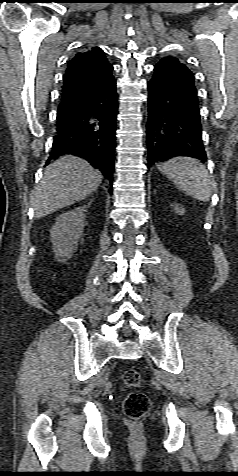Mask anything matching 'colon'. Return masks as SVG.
Returning a JSON list of instances; mask_svg holds the SVG:
<instances>
[{
  "mask_svg": "<svg viewBox=\"0 0 238 476\" xmlns=\"http://www.w3.org/2000/svg\"><path fill=\"white\" fill-rule=\"evenodd\" d=\"M123 383L129 388H137L141 384V375L134 368L127 369L123 373ZM150 409L149 397L140 391L130 392L123 402L124 414L132 419L142 418Z\"/></svg>",
  "mask_w": 238,
  "mask_h": 476,
  "instance_id": "5ec220e1",
  "label": "colon"
}]
</instances>
